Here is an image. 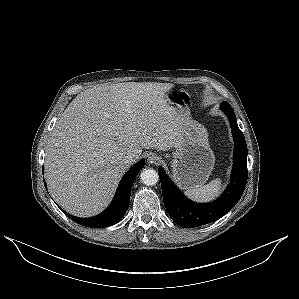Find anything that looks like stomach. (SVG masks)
Returning <instances> with one entry per match:
<instances>
[{
    "label": "stomach",
    "instance_id": "obj_1",
    "mask_svg": "<svg viewBox=\"0 0 299 299\" xmlns=\"http://www.w3.org/2000/svg\"><path fill=\"white\" fill-rule=\"evenodd\" d=\"M165 98L169 105L182 114L189 113L190 95L187 91L171 90ZM214 164L215 157L208 143L206 129L187 115L181 143L176 147L171 162L174 180L183 189L201 186L208 180Z\"/></svg>",
    "mask_w": 299,
    "mask_h": 299
}]
</instances>
